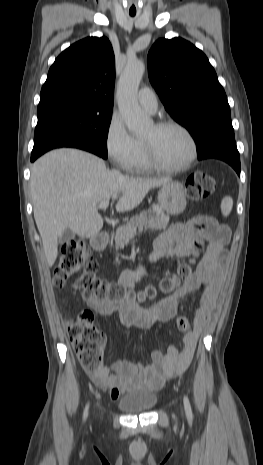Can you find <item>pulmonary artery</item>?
<instances>
[{"label":"pulmonary artery","instance_id":"1","mask_svg":"<svg viewBox=\"0 0 263 465\" xmlns=\"http://www.w3.org/2000/svg\"><path fill=\"white\" fill-rule=\"evenodd\" d=\"M140 106L150 113H155L158 107L157 97L154 91L148 87L140 89L137 95Z\"/></svg>","mask_w":263,"mask_h":465}]
</instances>
